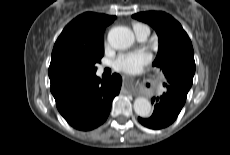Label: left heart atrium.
I'll return each instance as SVG.
<instances>
[{
    "label": "left heart atrium",
    "instance_id": "1",
    "mask_svg": "<svg viewBox=\"0 0 230 155\" xmlns=\"http://www.w3.org/2000/svg\"><path fill=\"white\" fill-rule=\"evenodd\" d=\"M151 55L144 50L124 52L118 55L113 66L124 73H136L149 63Z\"/></svg>",
    "mask_w": 230,
    "mask_h": 155
}]
</instances>
